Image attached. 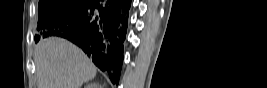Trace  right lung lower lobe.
I'll use <instances>...</instances> for the list:
<instances>
[{
	"label": "right lung lower lobe",
	"instance_id": "1",
	"mask_svg": "<svg viewBox=\"0 0 267 88\" xmlns=\"http://www.w3.org/2000/svg\"><path fill=\"white\" fill-rule=\"evenodd\" d=\"M131 0H89L70 17L49 27L47 36L75 43L118 84Z\"/></svg>",
	"mask_w": 267,
	"mask_h": 88
}]
</instances>
